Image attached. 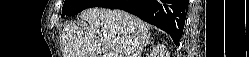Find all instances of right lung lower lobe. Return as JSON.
<instances>
[{
  "mask_svg": "<svg viewBox=\"0 0 249 57\" xmlns=\"http://www.w3.org/2000/svg\"><path fill=\"white\" fill-rule=\"evenodd\" d=\"M189 0H107L99 7L121 9L166 31L176 45L183 33Z\"/></svg>",
  "mask_w": 249,
  "mask_h": 57,
  "instance_id": "1",
  "label": "right lung lower lobe"
}]
</instances>
